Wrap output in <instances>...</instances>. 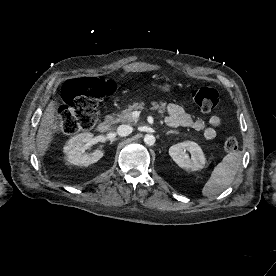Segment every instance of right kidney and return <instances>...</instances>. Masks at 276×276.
Returning a JSON list of instances; mask_svg holds the SVG:
<instances>
[{
    "mask_svg": "<svg viewBox=\"0 0 276 276\" xmlns=\"http://www.w3.org/2000/svg\"><path fill=\"white\" fill-rule=\"evenodd\" d=\"M93 138L91 133L78 134L67 141L64 146L65 159L74 165L78 166H89L99 161L104 151L95 150L93 153H84V148L90 144Z\"/></svg>",
    "mask_w": 276,
    "mask_h": 276,
    "instance_id": "ca27d5eb",
    "label": "right kidney"
}]
</instances>
